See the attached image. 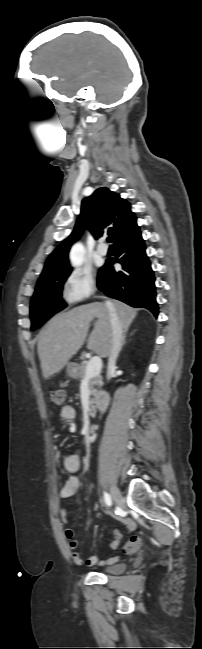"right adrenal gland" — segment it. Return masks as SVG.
Masks as SVG:
<instances>
[{"label": "right adrenal gland", "mask_w": 202, "mask_h": 649, "mask_svg": "<svg viewBox=\"0 0 202 649\" xmlns=\"http://www.w3.org/2000/svg\"><path fill=\"white\" fill-rule=\"evenodd\" d=\"M127 332H128V328L124 329V331H123V338H122V344H121L120 351L122 350V348H123L124 345L126 344Z\"/></svg>", "instance_id": "2a0ac1e0"}]
</instances>
